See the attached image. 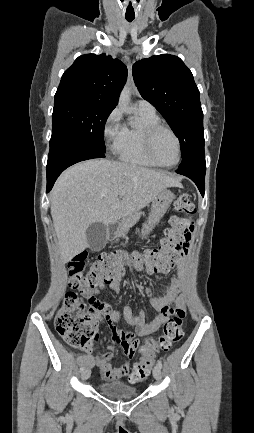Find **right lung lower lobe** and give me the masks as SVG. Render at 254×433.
<instances>
[{
	"label": "right lung lower lobe",
	"instance_id": "98d812e1",
	"mask_svg": "<svg viewBox=\"0 0 254 433\" xmlns=\"http://www.w3.org/2000/svg\"><path fill=\"white\" fill-rule=\"evenodd\" d=\"M105 154L84 146L69 138L59 140L50 146L47 171V192H49L58 176L67 167L88 159L104 158Z\"/></svg>",
	"mask_w": 254,
	"mask_h": 433
}]
</instances>
